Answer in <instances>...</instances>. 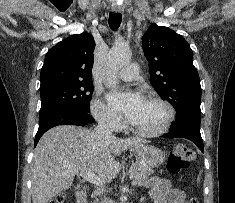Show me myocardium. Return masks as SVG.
<instances>
[{"label":"myocardium","mask_w":235,"mask_h":203,"mask_svg":"<svg viewBox=\"0 0 235 203\" xmlns=\"http://www.w3.org/2000/svg\"><path fill=\"white\" fill-rule=\"evenodd\" d=\"M146 100L150 102L158 103L164 107L166 111V115H165L163 122L161 123L159 127L155 129L144 130V129H139L133 126L129 121H127L126 123L127 129L131 131L132 133L139 135V136H143V137H157V136L165 134L169 130V128L171 127L175 119V110L173 106L167 100L161 97H157V96H149L146 98Z\"/></svg>","instance_id":"1"}]
</instances>
